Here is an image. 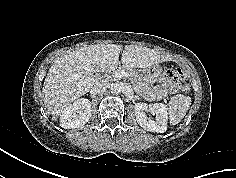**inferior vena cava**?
I'll use <instances>...</instances> for the list:
<instances>
[{
    "mask_svg": "<svg viewBox=\"0 0 236 178\" xmlns=\"http://www.w3.org/2000/svg\"><path fill=\"white\" fill-rule=\"evenodd\" d=\"M109 87V82L102 80L101 82L96 83L90 90L91 94H100L107 90Z\"/></svg>",
    "mask_w": 236,
    "mask_h": 178,
    "instance_id": "inferior-vena-cava-1",
    "label": "inferior vena cava"
}]
</instances>
